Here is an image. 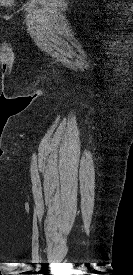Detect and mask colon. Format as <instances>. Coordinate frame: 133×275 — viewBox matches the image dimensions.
<instances>
[{"mask_svg": "<svg viewBox=\"0 0 133 275\" xmlns=\"http://www.w3.org/2000/svg\"><path fill=\"white\" fill-rule=\"evenodd\" d=\"M11 2H12V0H6V2H5V3H7V4H8V3H11Z\"/></svg>", "mask_w": 133, "mask_h": 275, "instance_id": "1", "label": "colon"}]
</instances>
